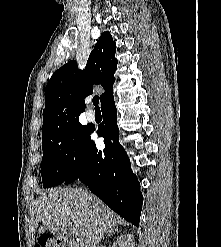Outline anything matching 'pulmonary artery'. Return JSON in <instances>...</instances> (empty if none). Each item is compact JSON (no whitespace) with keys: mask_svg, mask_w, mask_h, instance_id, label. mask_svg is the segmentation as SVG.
Masks as SVG:
<instances>
[{"mask_svg":"<svg viewBox=\"0 0 221 247\" xmlns=\"http://www.w3.org/2000/svg\"><path fill=\"white\" fill-rule=\"evenodd\" d=\"M86 117L89 121H94L95 120V114L92 110H87L86 112Z\"/></svg>","mask_w":221,"mask_h":247,"instance_id":"obj_1","label":"pulmonary artery"}]
</instances>
